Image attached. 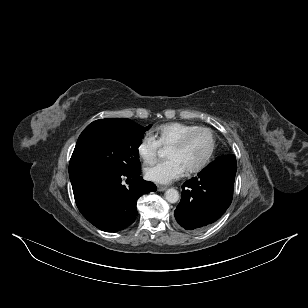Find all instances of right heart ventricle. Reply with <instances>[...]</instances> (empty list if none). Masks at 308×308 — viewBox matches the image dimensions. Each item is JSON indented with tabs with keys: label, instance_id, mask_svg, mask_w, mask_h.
Instances as JSON below:
<instances>
[{
	"label": "right heart ventricle",
	"instance_id": "1",
	"mask_svg": "<svg viewBox=\"0 0 308 308\" xmlns=\"http://www.w3.org/2000/svg\"><path fill=\"white\" fill-rule=\"evenodd\" d=\"M199 126L182 122H169L157 126L152 133V137L156 140L160 147H169L185 133Z\"/></svg>",
	"mask_w": 308,
	"mask_h": 308
}]
</instances>
